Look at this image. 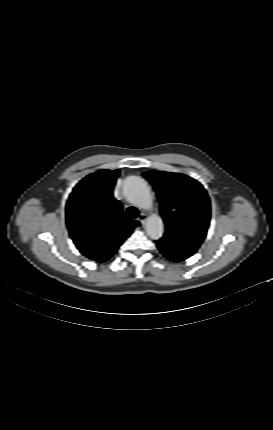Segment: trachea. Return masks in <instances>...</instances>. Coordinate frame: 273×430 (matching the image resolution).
I'll return each instance as SVG.
<instances>
[{
  "instance_id": "obj_1",
  "label": "trachea",
  "mask_w": 273,
  "mask_h": 430,
  "mask_svg": "<svg viewBox=\"0 0 273 430\" xmlns=\"http://www.w3.org/2000/svg\"><path fill=\"white\" fill-rule=\"evenodd\" d=\"M138 215H139V212H138L137 208L129 207L126 210L125 217H126V220H132V219L137 218Z\"/></svg>"
}]
</instances>
